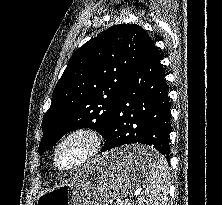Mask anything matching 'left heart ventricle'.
<instances>
[{"label":"left heart ventricle","mask_w":222,"mask_h":205,"mask_svg":"<svg viewBox=\"0 0 222 205\" xmlns=\"http://www.w3.org/2000/svg\"><path fill=\"white\" fill-rule=\"evenodd\" d=\"M88 141L84 138H73L64 143L58 151V162L62 167L75 163L87 150Z\"/></svg>","instance_id":"obj_1"}]
</instances>
